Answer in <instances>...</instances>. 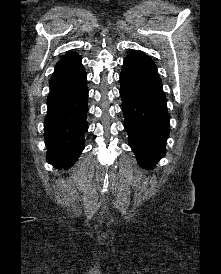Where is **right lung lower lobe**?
<instances>
[{
	"label": "right lung lower lobe",
	"mask_w": 221,
	"mask_h": 274,
	"mask_svg": "<svg viewBox=\"0 0 221 274\" xmlns=\"http://www.w3.org/2000/svg\"><path fill=\"white\" fill-rule=\"evenodd\" d=\"M87 75L81 58L55 68L49 81L44 138L47 161L56 168L67 169L83 151L88 126Z\"/></svg>",
	"instance_id": "98d812e1"
}]
</instances>
